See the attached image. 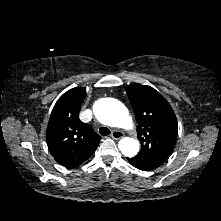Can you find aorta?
<instances>
[{
    "instance_id": "obj_1",
    "label": "aorta",
    "mask_w": 221,
    "mask_h": 221,
    "mask_svg": "<svg viewBox=\"0 0 221 221\" xmlns=\"http://www.w3.org/2000/svg\"><path fill=\"white\" fill-rule=\"evenodd\" d=\"M94 114L97 119L108 126L128 129L132 126V118L128 109L118 100L104 98L94 104ZM121 153L127 157H134L140 148L139 141L125 137L118 143Z\"/></svg>"
}]
</instances>
